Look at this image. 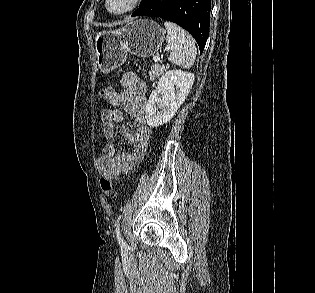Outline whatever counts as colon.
Returning <instances> with one entry per match:
<instances>
[{
	"instance_id": "1",
	"label": "colon",
	"mask_w": 315,
	"mask_h": 293,
	"mask_svg": "<svg viewBox=\"0 0 315 293\" xmlns=\"http://www.w3.org/2000/svg\"><path fill=\"white\" fill-rule=\"evenodd\" d=\"M113 91L114 90L111 87L106 88L100 92L99 96L101 99L106 100L110 97V95L113 93ZM100 186H101V189H102L104 194L111 195L114 193V184L110 179L102 178L100 180Z\"/></svg>"
}]
</instances>
